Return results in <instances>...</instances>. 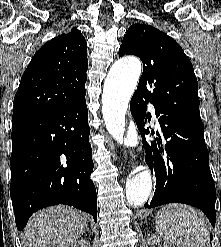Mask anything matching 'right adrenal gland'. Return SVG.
Masks as SVG:
<instances>
[{"instance_id": "2a0ac1e0", "label": "right adrenal gland", "mask_w": 221, "mask_h": 247, "mask_svg": "<svg viewBox=\"0 0 221 247\" xmlns=\"http://www.w3.org/2000/svg\"><path fill=\"white\" fill-rule=\"evenodd\" d=\"M86 232H89V229H86Z\"/></svg>"}]
</instances>
